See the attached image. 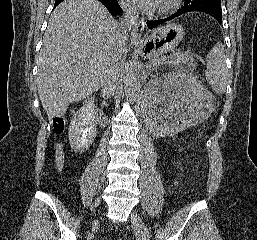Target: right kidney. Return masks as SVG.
<instances>
[{
	"instance_id": "right-kidney-1",
	"label": "right kidney",
	"mask_w": 257,
	"mask_h": 240,
	"mask_svg": "<svg viewBox=\"0 0 257 240\" xmlns=\"http://www.w3.org/2000/svg\"><path fill=\"white\" fill-rule=\"evenodd\" d=\"M94 117L93 105H86L75 112L69 126V142L73 150L83 152L93 143L96 136Z\"/></svg>"
}]
</instances>
